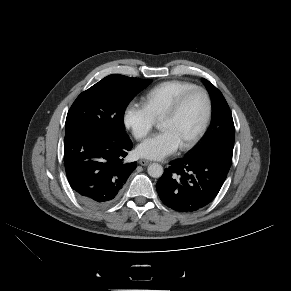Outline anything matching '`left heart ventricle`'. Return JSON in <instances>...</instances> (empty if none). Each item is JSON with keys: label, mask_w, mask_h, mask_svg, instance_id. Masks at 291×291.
<instances>
[{"label": "left heart ventricle", "mask_w": 291, "mask_h": 291, "mask_svg": "<svg viewBox=\"0 0 291 291\" xmlns=\"http://www.w3.org/2000/svg\"><path fill=\"white\" fill-rule=\"evenodd\" d=\"M206 103L201 93L192 94L180 111L172 118L162 119L160 129L171 131L180 145L188 142L200 127L205 115Z\"/></svg>", "instance_id": "left-heart-ventricle-1"}]
</instances>
